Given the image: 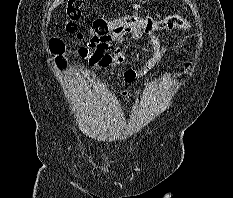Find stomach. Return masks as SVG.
Segmentation results:
<instances>
[{"label": "stomach", "mask_w": 233, "mask_h": 198, "mask_svg": "<svg viewBox=\"0 0 233 198\" xmlns=\"http://www.w3.org/2000/svg\"><path fill=\"white\" fill-rule=\"evenodd\" d=\"M130 1H132V0H130ZM139 1L145 3V2H149L150 0H139Z\"/></svg>", "instance_id": "obj_1"}]
</instances>
